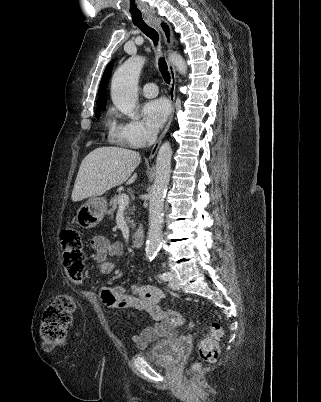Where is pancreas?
Masks as SVG:
<instances>
[{
	"label": "pancreas",
	"instance_id": "pancreas-1",
	"mask_svg": "<svg viewBox=\"0 0 321 402\" xmlns=\"http://www.w3.org/2000/svg\"><path fill=\"white\" fill-rule=\"evenodd\" d=\"M120 194L115 195L111 200H110V206L111 208L108 211V215L113 216L115 210L117 209V207L119 206L118 200H119ZM135 212V206L133 205L132 207H129L128 205L126 206V221L127 224L129 225V227L134 228L135 224L134 221L131 217V215H134Z\"/></svg>",
	"mask_w": 321,
	"mask_h": 402
}]
</instances>
